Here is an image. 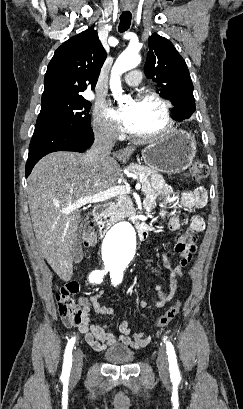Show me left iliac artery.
<instances>
[{
	"label": "left iliac artery",
	"instance_id": "left-iliac-artery-1",
	"mask_svg": "<svg viewBox=\"0 0 243 409\" xmlns=\"http://www.w3.org/2000/svg\"><path fill=\"white\" fill-rule=\"evenodd\" d=\"M110 276H111V281L112 284L115 286L119 283H121L123 275L122 272L119 270H110ZM164 342L166 344V350H167V355H168V360H169V370H170V376L173 380H177L180 378V372L177 364V358L175 354L174 347L172 343L164 338Z\"/></svg>",
	"mask_w": 243,
	"mask_h": 409
}]
</instances>
